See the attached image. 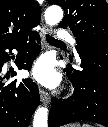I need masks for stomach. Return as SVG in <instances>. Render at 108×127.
Masks as SVG:
<instances>
[{"label":"stomach","mask_w":108,"mask_h":127,"mask_svg":"<svg viewBox=\"0 0 108 127\" xmlns=\"http://www.w3.org/2000/svg\"><path fill=\"white\" fill-rule=\"evenodd\" d=\"M65 127H82V126L78 123H72V124L66 125Z\"/></svg>","instance_id":"stomach-1"}]
</instances>
